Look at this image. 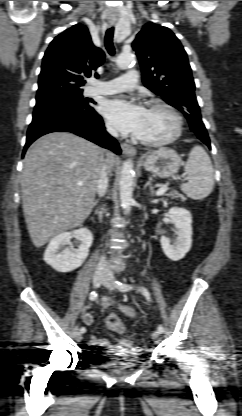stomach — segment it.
Masks as SVG:
<instances>
[{
  "label": "stomach",
  "mask_w": 242,
  "mask_h": 416,
  "mask_svg": "<svg viewBox=\"0 0 242 416\" xmlns=\"http://www.w3.org/2000/svg\"><path fill=\"white\" fill-rule=\"evenodd\" d=\"M141 162L152 174L160 178H168L179 170L181 158L175 150L162 147L146 154Z\"/></svg>",
  "instance_id": "0dacf381"
}]
</instances>
